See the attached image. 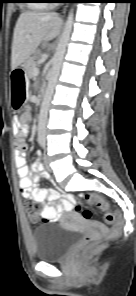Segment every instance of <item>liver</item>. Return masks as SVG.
<instances>
[{
    "label": "liver",
    "mask_w": 136,
    "mask_h": 296,
    "mask_svg": "<svg viewBox=\"0 0 136 296\" xmlns=\"http://www.w3.org/2000/svg\"><path fill=\"white\" fill-rule=\"evenodd\" d=\"M62 24V19L56 13L36 11L21 13L13 34L11 69H16L28 60L42 41L56 38Z\"/></svg>",
    "instance_id": "liver-1"
}]
</instances>
